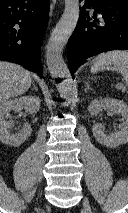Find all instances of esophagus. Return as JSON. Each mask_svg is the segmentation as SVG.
Instances as JSON below:
<instances>
[{"instance_id":"obj_1","label":"esophagus","mask_w":128,"mask_h":213,"mask_svg":"<svg viewBox=\"0 0 128 213\" xmlns=\"http://www.w3.org/2000/svg\"><path fill=\"white\" fill-rule=\"evenodd\" d=\"M53 14V6L51 7V15Z\"/></svg>"}]
</instances>
